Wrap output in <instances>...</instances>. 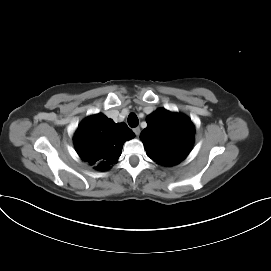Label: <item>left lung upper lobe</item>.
Returning <instances> with one entry per match:
<instances>
[{
    "instance_id": "1",
    "label": "left lung upper lobe",
    "mask_w": 271,
    "mask_h": 271,
    "mask_svg": "<svg viewBox=\"0 0 271 271\" xmlns=\"http://www.w3.org/2000/svg\"><path fill=\"white\" fill-rule=\"evenodd\" d=\"M148 126L141 132L147 156L164 166L180 163L194 143L195 128L184 115L157 109L147 117Z\"/></svg>"
}]
</instances>
